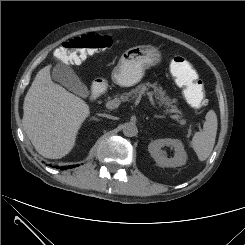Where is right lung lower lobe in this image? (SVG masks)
I'll list each match as a JSON object with an SVG mask.
<instances>
[{
  "instance_id": "1",
  "label": "right lung lower lobe",
  "mask_w": 245,
  "mask_h": 245,
  "mask_svg": "<svg viewBox=\"0 0 245 245\" xmlns=\"http://www.w3.org/2000/svg\"><path fill=\"white\" fill-rule=\"evenodd\" d=\"M73 167H76V165H72V166H62L60 167V169L64 170V169H67V168H73ZM58 168V167H57Z\"/></svg>"
}]
</instances>
